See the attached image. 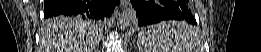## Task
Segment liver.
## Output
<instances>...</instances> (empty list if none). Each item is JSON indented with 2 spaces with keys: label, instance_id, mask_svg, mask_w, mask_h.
Segmentation results:
<instances>
[{
  "label": "liver",
  "instance_id": "1",
  "mask_svg": "<svg viewBox=\"0 0 261 52\" xmlns=\"http://www.w3.org/2000/svg\"><path fill=\"white\" fill-rule=\"evenodd\" d=\"M97 44L96 31L87 22H63L56 17L46 20L40 32L43 52H93Z\"/></svg>",
  "mask_w": 261,
  "mask_h": 52
}]
</instances>
